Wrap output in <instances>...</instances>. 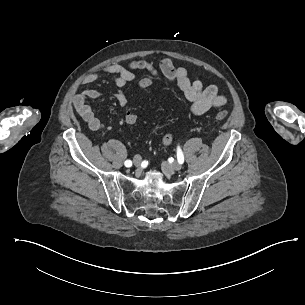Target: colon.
I'll use <instances>...</instances> for the list:
<instances>
[{"label":"colon","instance_id":"5ec220e1","mask_svg":"<svg viewBox=\"0 0 305 305\" xmlns=\"http://www.w3.org/2000/svg\"><path fill=\"white\" fill-rule=\"evenodd\" d=\"M156 76L144 78L140 81L139 86L141 89L146 90L149 87L153 86L155 84ZM216 119L222 120L227 117L226 111H218L215 113ZM124 121L127 124H135L138 121V115L135 112H128L125 117ZM173 141V135L171 133H166L162 136V143L164 145H170Z\"/></svg>","mask_w":305,"mask_h":305}]
</instances>
